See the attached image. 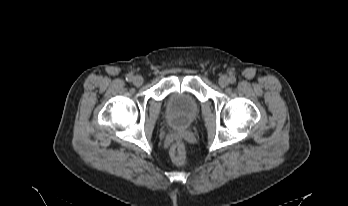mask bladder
<instances>
[{"mask_svg":"<svg viewBox=\"0 0 348 206\" xmlns=\"http://www.w3.org/2000/svg\"><path fill=\"white\" fill-rule=\"evenodd\" d=\"M166 109L169 120L174 125L186 127L196 118L199 104L193 95L175 91L170 94Z\"/></svg>","mask_w":348,"mask_h":206,"instance_id":"31cf9c89","label":"bladder"}]
</instances>
